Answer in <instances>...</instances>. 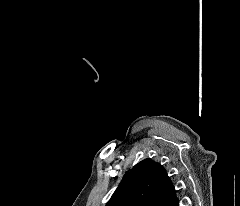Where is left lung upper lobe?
Segmentation results:
<instances>
[{"label":"left lung upper lobe","mask_w":240,"mask_h":206,"mask_svg":"<svg viewBox=\"0 0 240 206\" xmlns=\"http://www.w3.org/2000/svg\"><path fill=\"white\" fill-rule=\"evenodd\" d=\"M176 192L163 166L145 159L124 175L106 206H172Z\"/></svg>","instance_id":"obj_1"}]
</instances>
